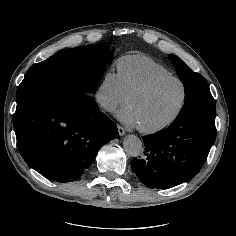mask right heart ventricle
<instances>
[{"label": "right heart ventricle", "instance_id": "e07e8e85", "mask_svg": "<svg viewBox=\"0 0 236 236\" xmlns=\"http://www.w3.org/2000/svg\"><path fill=\"white\" fill-rule=\"evenodd\" d=\"M116 64L123 89L128 95L155 78L174 75L166 66L146 55L123 56Z\"/></svg>", "mask_w": 236, "mask_h": 236}]
</instances>
